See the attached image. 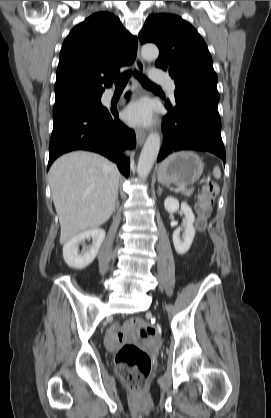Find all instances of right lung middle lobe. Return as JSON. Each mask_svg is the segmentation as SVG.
I'll return each instance as SVG.
<instances>
[{
	"label": "right lung middle lobe",
	"mask_w": 271,
	"mask_h": 418,
	"mask_svg": "<svg viewBox=\"0 0 271 418\" xmlns=\"http://www.w3.org/2000/svg\"><path fill=\"white\" fill-rule=\"evenodd\" d=\"M101 104V95L98 96H87V97H79L64 100L61 102H56L53 107V118L59 116L65 112L100 106Z\"/></svg>",
	"instance_id": "1"
}]
</instances>
